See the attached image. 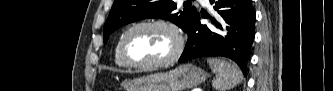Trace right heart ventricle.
Returning <instances> with one entry per match:
<instances>
[{"label": "right heart ventricle", "instance_id": "1", "mask_svg": "<svg viewBox=\"0 0 333 91\" xmlns=\"http://www.w3.org/2000/svg\"><path fill=\"white\" fill-rule=\"evenodd\" d=\"M123 35H124V33L119 37V39L116 42L115 50H114V60L118 66L127 68L129 66L124 62V60L122 59L121 54H120V44H121Z\"/></svg>", "mask_w": 333, "mask_h": 91}]
</instances>
